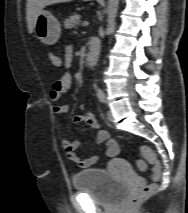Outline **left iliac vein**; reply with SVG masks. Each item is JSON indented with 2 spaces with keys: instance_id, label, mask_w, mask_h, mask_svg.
<instances>
[{
  "instance_id": "left-iliac-vein-1",
  "label": "left iliac vein",
  "mask_w": 188,
  "mask_h": 213,
  "mask_svg": "<svg viewBox=\"0 0 188 213\" xmlns=\"http://www.w3.org/2000/svg\"><path fill=\"white\" fill-rule=\"evenodd\" d=\"M107 118H108V120L110 121V122H112L113 121V114H112V111H108V113H107Z\"/></svg>"
}]
</instances>
